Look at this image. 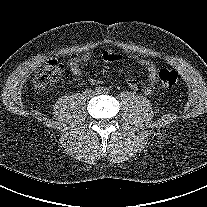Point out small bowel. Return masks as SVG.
<instances>
[{"instance_id": "c3829d8e", "label": "small bowel", "mask_w": 207, "mask_h": 207, "mask_svg": "<svg viewBox=\"0 0 207 207\" xmlns=\"http://www.w3.org/2000/svg\"><path fill=\"white\" fill-rule=\"evenodd\" d=\"M90 56V53H84L80 57L71 58L69 60L68 66L74 76H80L82 74L81 65L87 62L90 59ZM103 59L108 63H112L119 61L121 56L115 52L107 51L103 54ZM137 63L144 67L148 72V83L143 88V92L145 95H151L154 92L156 86L157 67L152 61L147 59H137ZM90 81L93 84L96 83L95 79H91ZM127 83L128 86L133 90L138 88V83L134 79H129Z\"/></svg>"}]
</instances>
